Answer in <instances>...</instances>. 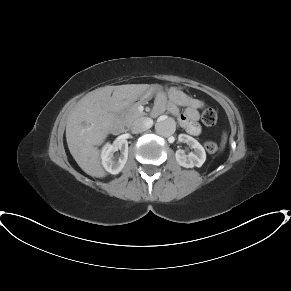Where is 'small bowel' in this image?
Instances as JSON below:
<instances>
[{"label":"small bowel","instance_id":"c3829d8e","mask_svg":"<svg viewBox=\"0 0 291 291\" xmlns=\"http://www.w3.org/2000/svg\"><path fill=\"white\" fill-rule=\"evenodd\" d=\"M181 106L186 107L184 113L179 110ZM203 107V101L192 98L190 95L175 89L167 95L162 94L157 97L155 112L160 114L166 110L178 119L188 134L198 136L201 133V126L197 122L198 111Z\"/></svg>","mask_w":291,"mask_h":291}]
</instances>
